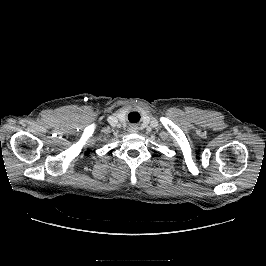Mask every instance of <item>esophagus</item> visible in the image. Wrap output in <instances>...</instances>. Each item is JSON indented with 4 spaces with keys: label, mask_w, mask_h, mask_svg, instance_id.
I'll return each instance as SVG.
<instances>
[{
    "label": "esophagus",
    "mask_w": 266,
    "mask_h": 266,
    "mask_svg": "<svg viewBox=\"0 0 266 266\" xmlns=\"http://www.w3.org/2000/svg\"><path fill=\"white\" fill-rule=\"evenodd\" d=\"M129 129H130L131 132H136L135 126H131Z\"/></svg>",
    "instance_id": "obj_1"
}]
</instances>
